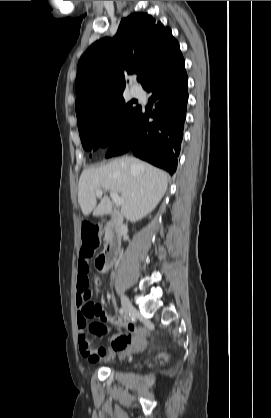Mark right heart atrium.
<instances>
[{
	"label": "right heart atrium",
	"instance_id": "right-heart-atrium-1",
	"mask_svg": "<svg viewBox=\"0 0 271 418\" xmlns=\"http://www.w3.org/2000/svg\"><path fill=\"white\" fill-rule=\"evenodd\" d=\"M107 137L110 141H114L121 132V125L116 115L110 117L106 123Z\"/></svg>",
	"mask_w": 271,
	"mask_h": 418
}]
</instances>
